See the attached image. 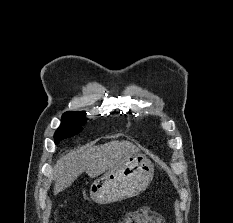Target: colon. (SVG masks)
I'll list each match as a JSON object with an SVG mask.
<instances>
[{
	"mask_svg": "<svg viewBox=\"0 0 233 223\" xmlns=\"http://www.w3.org/2000/svg\"><path fill=\"white\" fill-rule=\"evenodd\" d=\"M143 212V210H141ZM120 223H163L162 218L153 212L133 214L124 218Z\"/></svg>",
	"mask_w": 233,
	"mask_h": 223,
	"instance_id": "5ec220e1",
	"label": "colon"
}]
</instances>
